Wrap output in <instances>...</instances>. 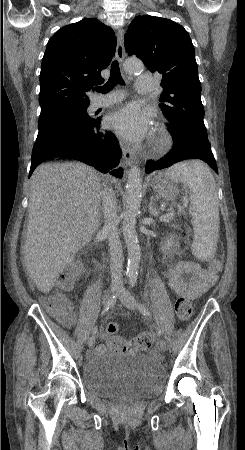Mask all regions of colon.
Returning <instances> with one entry per match:
<instances>
[{
	"instance_id": "1",
	"label": "colon",
	"mask_w": 245,
	"mask_h": 450,
	"mask_svg": "<svg viewBox=\"0 0 245 450\" xmlns=\"http://www.w3.org/2000/svg\"><path fill=\"white\" fill-rule=\"evenodd\" d=\"M83 265L82 262L78 263L72 272L64 274L55 282V290L43 301L50 313L65 327H70L73 324L74 316L71 311V303L64 292L72 288ZM210 265L212 270L219 271L222 266V259L214 258L211 260ZM191 311L192 304L187 298L180 297L176 300L175 313L181 321H187L191 315ZM106 329L109 333L108 343L114 350H141L150 347L152 344V336L148 333H141L133 341L127 343L121 336L115 335V332L118 330L116 323H109Z\"/></svg>"
}]
</instances>
